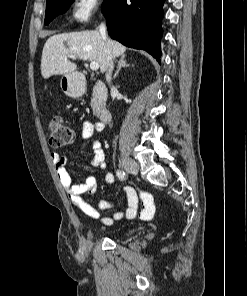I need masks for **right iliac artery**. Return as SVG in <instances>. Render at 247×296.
Returning a JSON list of instances; mask_svg holds the SVG:
<instances>
[{
  "label": "right iliac artery",
  "mask_w": 247,
  "mask_h": 296,
  "mask_svg": "<svg viewBox=\"0 0 247 296\" xmlns=\"http://www.w3.org/2000/svg\"><path fill=\"white\" fill-rule=\"evenodd\" d=\"M117 176L120 180H125L126 179V174L122 170H117Z\"/></svg>",
  "instance_id": "1"
}]
</instances>
